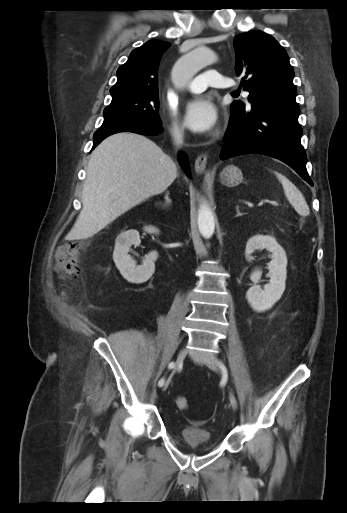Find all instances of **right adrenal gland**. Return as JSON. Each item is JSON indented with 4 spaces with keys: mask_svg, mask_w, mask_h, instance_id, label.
Returning <instances> with one entry per match:
<instances>
[{
    "mask_svg": "<svg viewBox=\"0 0 347 513\" xmlns=\"http://www.w3.org/2000/svg\"><path fill=\"white\" fill-rule=\"evenodd\" d=\"M172 204V200L169 198V191L165 192V202L162 204L160 203V206L162 208H168Z\"/></svg>",
    "mask_w": 347,
    "mask_h": 513,
    "instance_id": "1",
    "label": "right adrenal gland"
}]
</instances>
